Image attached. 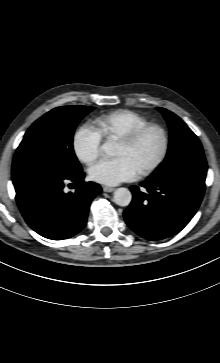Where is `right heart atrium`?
Masks as SVG:
<instances>
[{"mask_svg": "<svg viewBox=\"0 0 220 363\" xmlns=\"http://www.w3.org/2000/svg\"><path fill=\"white\" fill-rule=\"evenodd\" d=\"M101 143V134L88 124L78 126L72 138V146L77 159L86 165L92 164L98 158Z\"/></svg>", "mask_w": 220, "mask_h": 363, "instance_id": "d8ad5b80", "label": "right heart atrium"}]
</instances>
